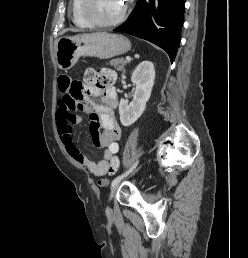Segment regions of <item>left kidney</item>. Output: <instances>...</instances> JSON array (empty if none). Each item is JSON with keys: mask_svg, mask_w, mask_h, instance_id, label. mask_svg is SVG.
Here are the masks:
<instances>
[{"mask_svg": "<svg viewBox=\"0 0 248 258\" xmlns=\"http://www.w3.org/2000/svg\"><path fill=\"white\" fill-rule=\"evenodd\" d=\"M155 79L154 65L151 61H142L134 70L131 81L136 85L133 100L128 104L120 100L119 114L121 124L125 127L132 125L142 115L150 98Z\"/></svg>", "mask_w": 248, "mask_h": 258, "instance_id": "1", "label": "left kidney"}]
</instances>
